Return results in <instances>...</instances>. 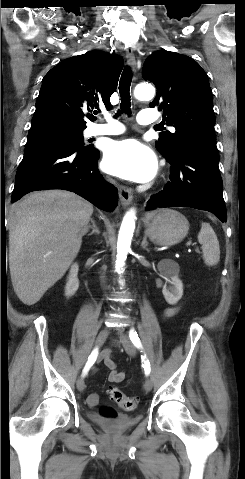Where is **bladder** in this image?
<instances>
[{"label": "bladder", "mask_w": 245, "mask_h": 479, "mask_svg": "<svg viewBox=\"0 0 245 479\" xmlns=\"http://www.w3.org/2000/svg\"><path fill=\"white\" fill-rule=\"evenodd\" d=\"M94 422L100 426L102 429L111 432V433H119L127 430L130 426L136 423V419L125 417L123 420H103V419H95Z\"/></svg>", "instance_id": "bladder-1"}]
</instances>
